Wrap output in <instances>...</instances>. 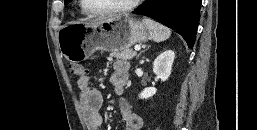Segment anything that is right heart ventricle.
Returning <instances> with one entry per match:
<instances>
[{
    "label": "right heart ventricle",
    "instance_id": "right-heart-ventricle-1",
    "mask_svg": "<svg viewBox=\"0 0 257 130\" xmlns=\"http://www.w3.org/2000/svg\"><path fill=\"white\" fill-rule=\"evenodd\" d=\"M81 11H82L83 14H86V12L84 11L82 5H81Z\"/></svg>",
    "mask_w": 257,
    "mask_h": 130
}]
</instances>
